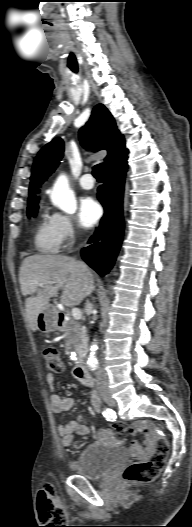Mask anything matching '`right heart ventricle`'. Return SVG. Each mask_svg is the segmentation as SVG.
I'll return each instance as SVG.
<instances>
[{
    "label": "right heart ventricle",
    "instance_id": "right-heart-ventricle-1",
    "mask_svg": "<svg viewBox=\"0 0 192 527\" xmlns=\"http://www.w3.org/2000/svg\"><path fill=\"white\" fill-rule=\"evenodd\" d=\"M34 240L38 251L46 254L58 252L60 241L50 216H44L40 219Z\"/></svg>",
    "mask_w": 192,
    "mask_h": 527
}]
</instances>
